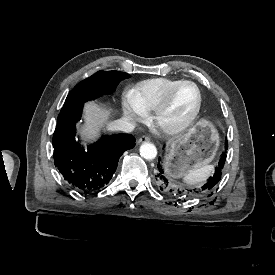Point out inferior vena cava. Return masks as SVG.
<instances>
[{"label":"inferior vena cava","instance_id":"inferior-vena-cava-1","mask_svg":"<svg viewBox=\"0 0 275 275\" xmlns=\"http://www.w3.org/2000/svg\"><path fill=\"white\" fill-rule=\"evenodd\" d=\"M135 125L133 123L124 121V120H116L111 122L108 126L109 130H120L126 133H130L134 130Z\"/></svg>","mask_w":275,"mask_h":275}]
</instances>
